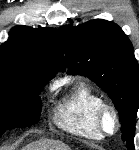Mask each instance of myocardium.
Returning a JSON list of instances; mask_svg holds the SVG:
<instances>
[{
	"label": "myocardium",
	"mask_w": 139,
	"mask_h": 150,
	"mask_svg": "<svg viewBox=\"0 0 139 150\" xmlns=\"http://www.w3.org/2000/svg\"><path fill=\"white\" fill-rule=\"evenodd\" d=\"M107 113H111L115 121V129L112 133H109L105 129V126H104V117ZM95 124H96L98 131L102 134V136L111 137V136L116 135L119 132L120 125H121L118 111L112 104L102 102L98 106L96 113H95Z\"/></svg>",
	"instance_id": "f54148a6"
}]
</instances>
